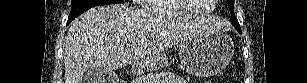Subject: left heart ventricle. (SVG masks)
Here are the masks:
<instances>
[{
  "label": "left heart ventricle",
  "mask_w": 307,
  "mask_h": 83,
  "mask_svg": "<svg viewBox=\"0 0 307 83\" xmlns=\"http://www.w3.org/2000/svg\"><path fill=\"white\" fill-rule=\"evenodd\" d=\"M192 2H193L194 4L197 3V7L200 8V9H203V10H206V9H208V8L210 7V5H207V4H204V5L198 4V3H203V2H200L199 0H198V1L194 0V1H192Z\"/></svg>",
  "instance_id": "left-heart-ventricle-1"
}]
</instances>
